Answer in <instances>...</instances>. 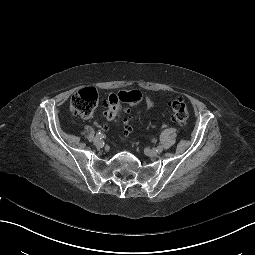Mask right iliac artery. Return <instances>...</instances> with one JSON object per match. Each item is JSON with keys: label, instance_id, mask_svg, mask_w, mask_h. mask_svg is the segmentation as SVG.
Segmentation results:
<instances>
[{"label": "right iliac artery", "instance_id": "right-iliac-artery-1", "mask_svg": "<svg viewBox=\"0 0 255 255\" xmlns=\"http://www.w3.org/2000/svg\"><path fill=\"white\" fill-rule=\"evenodd\" d=\"M96 137H98L99 139H102L104 137V135L101 132H99L96 134Z\"/></svg>", "mask_w": 255, "mask_h": 255}]
</instances>
